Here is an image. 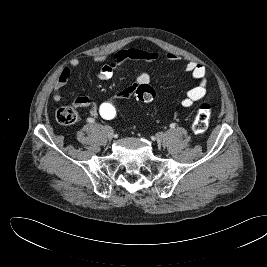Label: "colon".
<instances>
[{"mask_svg": "<svg viewBox=\"0 0 267 267\" xmlns=\"http://www.w3.org/2000/svg\"><path fill=\"white\" fill-rule=\"evenodd\" d=\"M135 97L141 103H149L155 97L154 89L148 84H140L135 88ZM122 100L116 95L105 98L98 104L97 114L105 120H114L121 109ZM211 108L208 103L199 105L192 129L196 134L204 133L209 126ZM56 120L63 125H71L77 121L78 115L72 107H61L56 112Z\"/></svg>", "mask_w": 267, "mask_h": 267, "instance_id": "obj_1", "label": "colon"}]
</instances>
